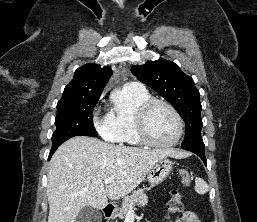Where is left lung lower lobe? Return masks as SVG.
<instances>
[{"instance_id":"0a47b994","label":"left lung lower lobe","mask_w":257,"mask_h":222,"mask_svg":"<svg viewBox=\"0 0 257 222\" xmlns=\"http://www.w3.org/2000/svg\"><path fill=\"white\" fill-rule=\"evenodd\" d=\"M185 150H188V151H191V152L197 154L202 159V161L205 163V165H207L204 150H201V149H185Z\"/></svg>"}]
</instances>
